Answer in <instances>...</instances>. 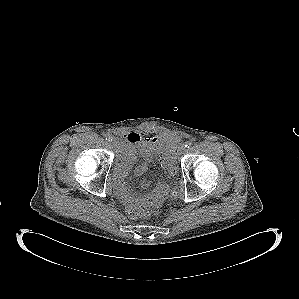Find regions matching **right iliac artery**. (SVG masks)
Wrapping results in <instances>:
<instances>
[{
  "instance_id": "82829eb1",
  "label": "right iliac artery",
  "mask_w": 299,
  "mask_h": 299,
  "mask_svg": "<svg viewBox=\"0 0 299 299\" xmlns=\"http://www.w3.org/2000/svg\"><path fill=\"white\" fill-rule=\"evenodd\" d=\"M104 137H105V139L108 140V141H111V139H112V136H111L110 134H108V133H105V134H104Z\"/></svg>"
}]
</instances>
